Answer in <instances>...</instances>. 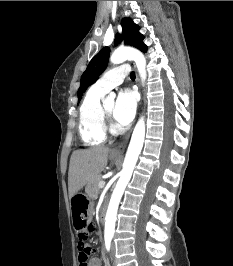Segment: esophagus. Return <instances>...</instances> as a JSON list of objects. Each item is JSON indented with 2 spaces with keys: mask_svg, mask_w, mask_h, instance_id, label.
Wrapping results in <instances>:
<instances>
[{
  "mask_svg": "<svg viewBox=\"0 0 233 266\" xmlns=\"http://www.w3.org/2000/svg\"><path fill=\"white\" fill-rule=\"evenodd\" d=\"M131 66L135 69V64L133 62H131ZM136 81H137V84L139 85V76H138L137 72H136ZM131 131L132 130H130L126 134V136L124 137L123 141L117 147H115L114 149H112L111 152L113 154H120V153H122L125 150V148H126V146L128 144L130 135H131Z\"/></svg>",
  "mask_w": 233,
  "mask_h": 266,
  "instance_id": "obj_1",
  "label": "esophagus"
}]
</instances>
